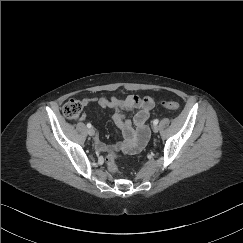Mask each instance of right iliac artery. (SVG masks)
I'll return each mask as SVG.
<instances>
[{
	"label": "right iliac artery",
	"mask_w": 243,
	"mask_h": 243,
	"mask_svg": "<svg viewBox=\"0 0 243 243\" xmlns=\"http://www.w3.org/2000/svg\"><path fill=\"white\" fill-rule=\"evenodd\" d=\"M87 127H88V128H91V127H92V125H91L90 123H88V124H87Z\"/></svg>",
	"instance_id": "obj_1"
}]
</instances>
